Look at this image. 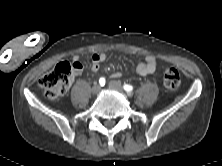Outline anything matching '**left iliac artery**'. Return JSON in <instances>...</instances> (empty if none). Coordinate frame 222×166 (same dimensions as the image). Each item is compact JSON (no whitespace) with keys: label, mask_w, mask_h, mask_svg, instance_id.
<instances>
[{"label":"left iliac artery","mask_w":222,"mask_h":166,"mask_svg":"<svg viewBox=\"0 0 222 166\" xmlns=\"http://www.w3.org/2000/svg\"><path fill=\"white\" fill-rule=\"evenodd\" d=\"M124 90L127 92V93H130L132 90H133V87L129 84H125L123 86Z\"/></svg>","instance_id":"44dca946"}]
</instances>
